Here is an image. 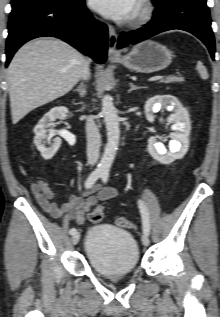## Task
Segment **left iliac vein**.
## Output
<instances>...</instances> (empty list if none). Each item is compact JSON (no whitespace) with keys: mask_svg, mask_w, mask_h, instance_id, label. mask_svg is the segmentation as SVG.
Masks as SVG:
<instances>
[{"mask_svg":"<svg viewBox=\"0 0 220 317\" xmlns=\"http://www.w3.org/2000/svg\"><path fill=\"white\" fill-rule=\"evenodd\" d=\"M141 239H142L143 245H145V246L149 245L150 241H149V238H148V236L146 234L142 235Z\"/></svg>","mask_w":220,"mask_h":317,"instance_id":"1","label":"left iliac vein"}]
</instances>
